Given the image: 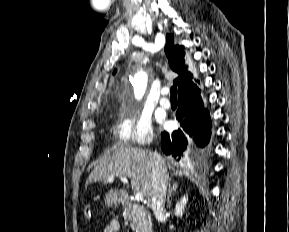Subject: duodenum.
Masks as SVG:
<instances>
[{
	"instance_id": "obj_1",
	"label": "duodenum",
	"mask_w": 289,
	"mask_h": 232,
	"mask_svg": "<svg viewBox=\"0 0 289 232\" xmlns=\"http://www.w3.org/2000/svg\"><path fill=\"white\" fill-rule=\"evenodd\" d=\"M120 200L122 203H125V204L129 202V198L127 195H122Z\"/></svg>"
}]
</instances>
